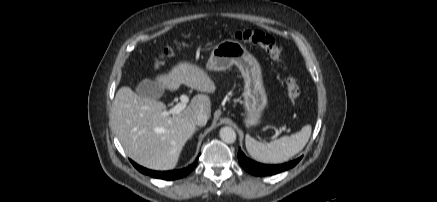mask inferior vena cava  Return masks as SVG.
<instances>
[{"mask_svg": "<svg viewBox=\"0 0 437 202\" xmlns=\"http://www.w3.org/2000/svg\"><path fill=\"white\" fill-rule=\"evenodd\" d=\"M208 120V116L204 112H200L197 114L195 118V124L198 126H205Z\"/></svg>", "mask_w": 437, "mask_h": 202, "instance_id": "obj_1", "label": "inferior vena cava"}]
</instances>
